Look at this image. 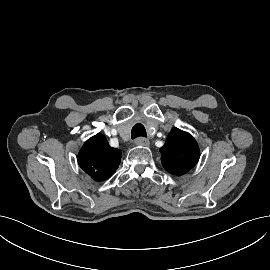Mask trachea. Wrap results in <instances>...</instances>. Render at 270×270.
Returning <instances> with one entry per match:
<instances>
[{
    "instance_id": "obj_1",
    "label": "trachea",
    "mask_w": 270,
    "mask_h": 270,
    "mask_svg": "<svg viewBox=\"0 0 270 270\" xmlns=\"http://www.w3.org/2000/svg\"><path fill=\"white\" fill-rule=\"evenodd\" d=\"M146 130L145 127L141 123H137L133 128L131 132L132 139H135L137 137H146Z\"/></svg>"
}]
</instances>
